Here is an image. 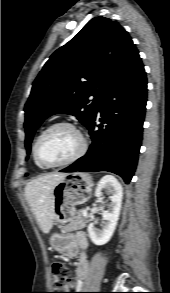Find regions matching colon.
Masks as SVG:
<instances>
[{
  "instance_id": "colon-1",
  "label": "colon",
  "mask_w": 170,
  "mask_h": 293,
  "mask_svg": "<svg viewBox=\"0 0 170 293\" xmlns=\"http://www.w3.org/2000/svg\"><path fill=\"white\" fill-rule=\"evenodd\" d=\"M70 276V270L62 262H54L52 265V277L54 284L60 289L65 286ZM64 293V292H56Z\"/></svg>"
}]
</instances>
